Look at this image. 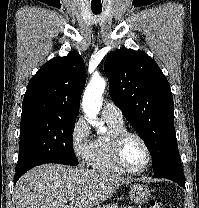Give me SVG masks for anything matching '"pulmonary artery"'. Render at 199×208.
<instances>
[{
  "label": "pulmonary artery",
  "mask_w": 199,
  "mask_h": 208,
  "mask_svg": "<svg viewBox=\"0 0 199 208\" xmlns=\"http://www.w3.org/2000/svg\"><path fill=\"white\" fill-rule=\"evenodd\" d=\"M102 115L105 119H110L117 123H124V116L121 109L110 101H106L103 104Z\"/></svg>",
  "instance_id": "pulmonary-artery-1"
}]
</instances>
